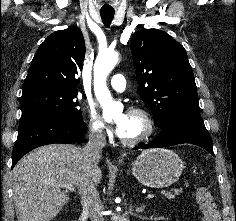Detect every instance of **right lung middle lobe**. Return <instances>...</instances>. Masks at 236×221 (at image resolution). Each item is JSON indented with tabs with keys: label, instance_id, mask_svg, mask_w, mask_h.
<instances>
[{
	"label": "right lung middle lobe",
	"instance_id": "right-lung-middle-lobe-1",
	"mask_svg": "<svg viewBox=\"0 0 236 221\" xmlns=\"http://www.w3.org/2000/svg\"><path fill=\"white\" fill-rule=\"evenodd\" d=\"M77 91H57L50 89L36 90L21 96L22 116L49 113L62 115L74 119L82 117L77 109Z\"/></svg>",
	"mask_w": 236,
	"mask_h": 221
}]
</instances>
